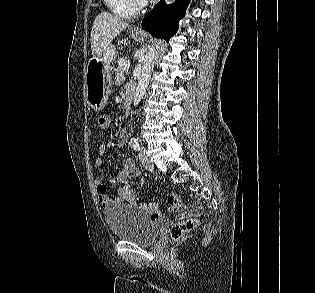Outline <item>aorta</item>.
Listing matches in <instances>:
<instances>
[{
    "label": "aorta",
    "mask_w": 315,
    "mask_h": 293,
    "mask_svg": "<svg viewBox=\"0 0 315 293\" xmlns=\"http://www.w3.org/2000/svg\"><path fill=\"white\" fill-rule=\"evenodd\" d=\"M173 0H166L167 4H170ZM155 56V46L151 45L148 47V52L144 56V61L142 65L141 76L138 81L136 88V93L134 96V106H137L146 92L151 77V72L153 70V61Z\"/></svg>",
    "instance_id": "aorta-1"
}]
</instances>
